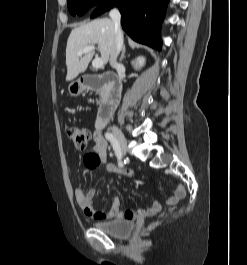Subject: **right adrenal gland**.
<instances>
[{
  "instance_id": "1",
  "label": "right adrenal gland",
  "mask_w": 247,
  "mask_h": 265,
  "mask_svg": "<svg viewBox=\"0 0 247 265\" xmlns=\"http://www.w3.org/2000/svg\"><path fill=\"white\" fill-rule=\"evenodd\" d=\"M125 52H126V48L125 46H123V49H122V54L119 58V62H122V60L125 58Z\"/></svg>"
}]
</instances>
